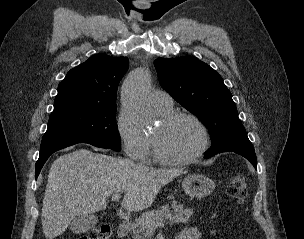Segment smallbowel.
<instances>
[{
  "instance_id": "1",
  "label": "small bowel",
  "mask_w": 304,
  "mask_h": 239,
  "mask_svg": "<svg viewBox=\"0 0 304 239\" xmlns=\"http://www.w3.org/2000/svg\"><path fill=\"white\" fill-rule=\"evenodd\" d=\"M201 233L195 227H188L182 230L176 239H200Z\"/></svg>"
}]
</instances>
